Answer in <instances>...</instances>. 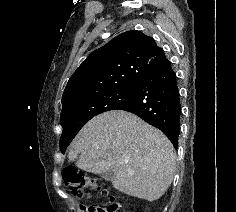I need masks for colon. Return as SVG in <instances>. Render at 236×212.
<instances>
[{"instance_id":"obj_1","label":"colon","mask_w":236,"mask_h":212,"mask_svg":"<svg viewBox=\"0 0 236 212\" xmlns=\"http://www.w3.org/2000/svg\"><path fill=\"white\" fill-rule=\"evenodd\" d=\"M63 179L71 193L77 197H89L87 190L93 189L108 198L107 207L88 206L84 209L85 212H118L122 208V203L110 196L109 192L98 185L91 176L74 167H67L64 170Z\"/></svg>"}]
</instances>
